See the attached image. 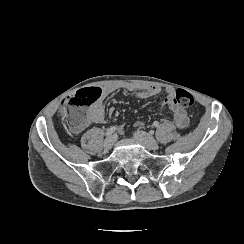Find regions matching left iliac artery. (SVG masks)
I'll return each mask as SVG.
<instances>
[{"label": "left iliac artery", "mask_w": 244, "mask_h": 244, "mask_svg": "<svg viewBox=\"0 0 244 244\" xmlns=\"http://www.w3.org/2000/svg\"><path fill=\"white\" fill-rule=\"evenodd\" d=\"M153 126L156 127V128H158L159 127V122L158 121H154L153 122Z\"/></svg>", "instance_id": "left-iliac-artery-1"}]
</instances>
